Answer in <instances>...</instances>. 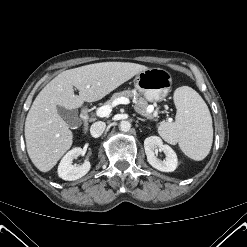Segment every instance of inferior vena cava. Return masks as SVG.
I'll return each instance as SVG.
<instances>
[{
  "instance_id": "602c4592",
  "label": "inferior vena cava",
  "mask_w": 247,
  "mask_h": 247,
  "mask_svg": "<svg viewBox=\"0 0 247 247\" xmlns=\"http://www.w3.org/2000/svg\"><path fill=\"white\" fill-rule=\"evenodd\" d=\"M106 128V124L105 122H102V121H98V122H95L91 125L90 127V133L93 137L97 138L99 136L102 135V133L104 132Z\"/></svg>"
}]
</instances>
